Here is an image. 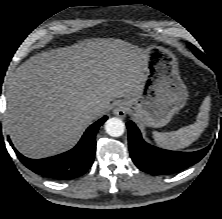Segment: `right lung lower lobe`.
Instances as JSON below:
<instances>
[{
    "mask_svg": "<svg viewBox=\"0 0 222 219\" xmlns=\"http://www.w3.org/2000/svg\"><path fill=\"white\" fill-rule=\"evenodd\" d=\"M107 118L104 116L92 124L73 149L49 158L30 159L24 157L9 142L19 160L36 174L57 180L73 179L86 173L92 166L96 151V133Z\"/></svg>",
    "mask_w": 222,
    "mask_h": 219,
    "instance_id": "obj_1",
    "label": "right lung lower lobe"
}]
</instances>
